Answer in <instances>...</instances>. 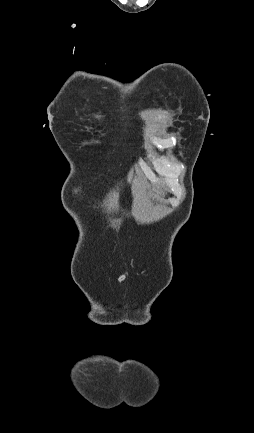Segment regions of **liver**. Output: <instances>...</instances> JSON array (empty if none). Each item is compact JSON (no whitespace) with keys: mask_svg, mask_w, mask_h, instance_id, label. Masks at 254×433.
Masks as SVG:
<instances>
[{"mask_svg":"<svg viewBox=\"0 0 254 433\" xmlns=\"http://www.w3.org/2000/svg\"><path fill=\"white\" fill-rule=\"evenodd\" d=\"M156 197H157L159 200H162V199H163L162 196H159V192H157Z\"/></svg>","mask_w":254,"mask_h":433,"instance_id":"liver-1","label":"liver"}]
</instances>
